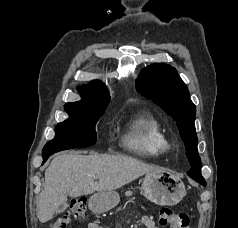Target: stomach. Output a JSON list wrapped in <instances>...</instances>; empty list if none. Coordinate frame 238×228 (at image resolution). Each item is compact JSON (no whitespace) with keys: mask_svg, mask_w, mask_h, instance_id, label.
Wrapping results in <instances>:
<instances>
[{"mask_svg":"<svg viewBox=\"0 0 238 228\" xmlns=\"http://www.w3.org/2000/svg\"><path fill=\"white\" fill-rule=\"evenodd\" d=\"M142 189L147 199L161 206L175 205L186 195L184 183L168 171L146 174ZM119 201L120 196L116 191L98 192L90 197L89 207L96 213H103L116 207Z\"/></svg>","mask_w":238,"mask_h":228,"instance_id":"obj_1","label":"stomach"}]
</instances>
